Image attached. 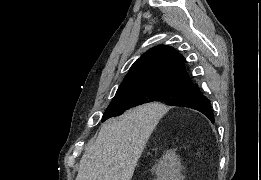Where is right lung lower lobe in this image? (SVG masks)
Instances as JSON below:
<instances>
[{
	"instance_id": "98d812e1",
	"label": "right lung lower lobe",
	"mask_w": 261,
	"mask_h": 180,
	"mask_svg": "<svg viewBox=\"0 0 261 180\" xmlns=\"http://www.w3.org/2000/svg\"><path fill=\"white\" fill-rule=\"evenodd\" d=\"M171 105L192 108L203 113L206 117H208L211 120V122L215 121L210 101L201 92L193 96L185 97L178 101H175Z\"/></svg>"
}]
</instances>
